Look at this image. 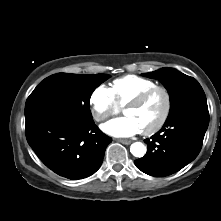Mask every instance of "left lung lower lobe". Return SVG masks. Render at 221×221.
I'll return each mask as SVG.
<instances>
[{
    "label": "left lung lower lobe",
    "instance_id": "left-lung-lower-lobe-1",
    "mask_svg": "<svg viewBox=\"0 0 221 221\" xmlns=\"http://www.w3.org/2000/svg\"><path fill=\"white\" fill-rule=\"evenodd\" d=\"M208 124L206 100L181 107L168 116L159 132L144 140L147 153L135 160L136 167L155 177L179 171L199 154Z\"/></svg>",
    "mask_w": 221,
    "mask_h": 221
}]
</instances>
